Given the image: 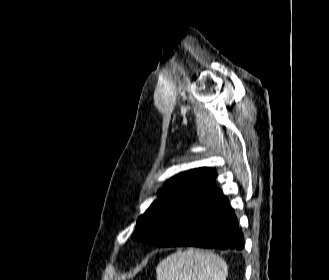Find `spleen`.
<instances>
[{"label": "spleen", "mask_w": 329, "mask_h": 280, "mask_svg": "<svg viewBox=\"0 0 329 280\" xmlns=\"http://www.w3.org/2000/svg\"><path fill=\"white\" fill-rule=\"evenodd\" d=\"M157 280H226V262L212 251L189 248L169 255L156 268Z\"/></svg>", "instance_id": "1"}]
</instances>
